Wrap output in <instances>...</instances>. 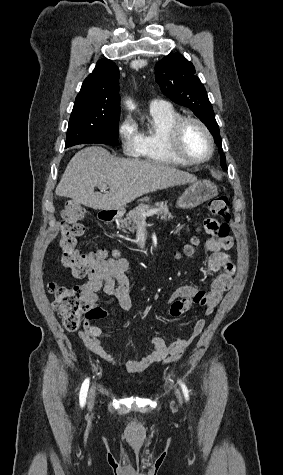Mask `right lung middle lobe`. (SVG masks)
<instances>
[{"mask_svg":"<svg viewBox=\"0 0 283 475\" xmlns=\"http://www.w3.org/2000/svg\"><path fill=\"white\" fill-rule=\"evenodd\" d=\"M119 114V105L75 102L68 125L65 148L85 143L116 146L119 134Z\"/></svg>","mask_w":283,"mask_h":475,"instance_id":"right-lung-middle-lobe-1","label":"right lung middle lobe"}]
</instances>
